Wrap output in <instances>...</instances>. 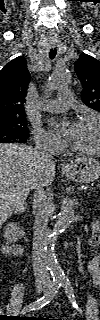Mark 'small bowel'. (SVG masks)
Returning a JSON list of instances; mask_svg holds the SVG:
<instances>
[{"label":"small bowel","instance_id":"obj_1","mask_svg":"<svg viewBox=\"0 0 100 320\" xmlns=\"http://www.w3.org/2000/svg\"><path fill=\"white\" fill-rule=\"evenodd\" d=\"M94 247H97V246H94ZM88 271L93 278V282L96 285H99L100 284V259L99 258H95L89 262Z\"/></svg>","mask_w":100,"mask_h":320}]
</instances>
